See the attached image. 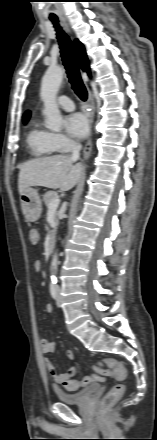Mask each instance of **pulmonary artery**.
Returning a JSON list of instances; mask_svg holds the SVG:
<instances>
[{
    "instance_id": "e3ab8cb5",
    "label": "pulmonary artery",
    "mask_w": 157,
    "mask_h": 440,
    "mask_svg": "<svg viewBox=\"0 0 157 440\" xmlns=\"http://www.w3.org/2000/svg\"><path fill=\"white\" fill-rule=\"evenodd\" d=\"M58 105L66 110V111H73L75 108V105L73 103V101H71L68 97L66 96H60L58 98Z\"/></svg>"
}]
</instances>
